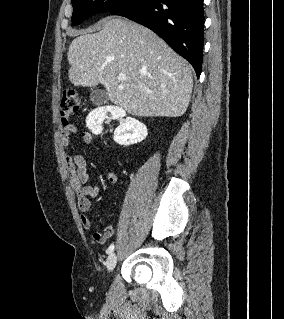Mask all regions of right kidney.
<instances>
[{
	"label": "right kidney",
	"instance_id": "obj_1",
	"mask_svg": "<svg viewBox=\"0 0 284 319\" xmlns=\"http://www.w3.org/2000/svg\"><path fill=\"white\" fill-rule=\"evenodd\" d=\"M110 112L115 117H125L126 112L122 108H97L91 111L86 118V126L93 133L102 131V123ZM148 134L146 126L131 117H126L124 121L114 131V141L120 145L128 146L143 141Z\"/></svg>",
	"mask_w": 284,
	"mask_h": 319
}]
</instances>
